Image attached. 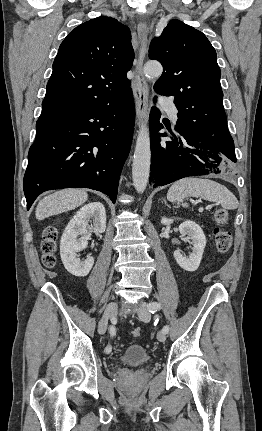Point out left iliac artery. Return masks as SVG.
Instances as JSON below:
<instances>
[{
  "instance_id": "obj_1",
  "label": "left iliac artery",
  "mask_w": 262,
  "mask_h": 431,
  "mask_svg": "<svg viewBox=\"0 0 262 431\" xmlns=\"http://www.w3.org/2000/svg\"><path fill=\"white\" fill-rule=\"evenodd\" d=\"M148 308H149V311H150L151 313H155V312H157V310H159V309L161 308V306H160V304H159V303H157V302H151V303H149ZM162 331H163L164 333H168V331H169V326H168V325L164 326V327H163V329H162Z\"/></svg>"
}]
</instances>
